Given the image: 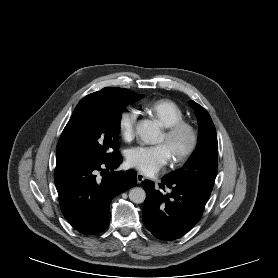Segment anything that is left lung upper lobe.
Segmentation results:
<instances>
[{
	"label": "left lung upper lobe",
	"mask_w": 278,
	"mask_h": 278,
	"mask_svg": "<svg viewBox=\"0 0 278 278\" xmlns=\"http://www.w3.org/2000/svg\"><path fill=\"white\" fill-rule=\"evenodd\" d=\"M199 123L198 146L185 165L166 176L177 182L193 183L212 189L218 172V142L209 113L190 101Z\"/></svg>",
	"instance_id": "left-lung-upper-lobe-1"
}]
</instances>
